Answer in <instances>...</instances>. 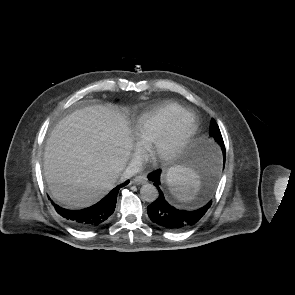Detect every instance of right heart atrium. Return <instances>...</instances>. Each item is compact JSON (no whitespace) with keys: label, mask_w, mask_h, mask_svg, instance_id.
<instances>
[{"label":"right heart atrium","mask_w":295,"mask_h":295,"mask_svg":"<svg viewBox=\"0 0 295 295\" xmlns=\"http://www.w3.org/2000/svg\"><path fill=\"white\" fill-rule=\"evenodd\" d=\"M142 156H143V147L138 144L133 153V162L138 163L139 161H141Z\"/></svg>","instance_id":"right-heart-atrium-1"}]
</instances>
